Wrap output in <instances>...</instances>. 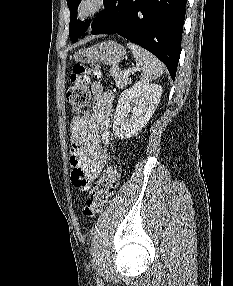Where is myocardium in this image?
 Returning <instances> with one entry per match:
<instances>
[{
  "label": "myocardium",
  "instance_id": "obj_1",
  "mask_svg": "<svg viewBox=\"0 0 233 286\" xmlns=\"http://www.w3.org/2000/svg\"><path fill=\"white\" fill-rule=\"evenodd\" d=\"M107 5V0H78L75 17L78 21H87L100 13Z\"/></svg>",
  "mask_w": 233,
  "mask_h": 286
}]
</instances>
